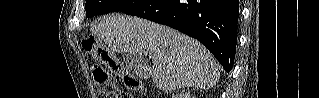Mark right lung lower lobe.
Masks as SVG:
<instances>
[{"label":"right lung lower lobe","mask_w":319,"mask_h":98,"mask_svg":"<svg viewBox=\"0 0 319 98\" xmlns=\"http://www.w3.org/2000/svg\"><path fill=\"white\" fill-rule=\"evenodd\" d=\"M125 13L170 26L199 40L227 72L232 69L239 0H148Z\"/></svg>","instance_id":"right-lung-lower-lobe-1"}]
</instances>
